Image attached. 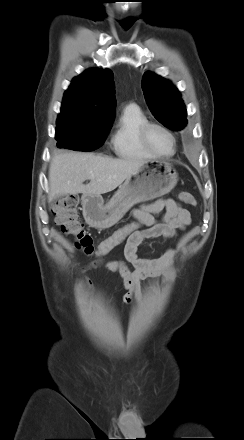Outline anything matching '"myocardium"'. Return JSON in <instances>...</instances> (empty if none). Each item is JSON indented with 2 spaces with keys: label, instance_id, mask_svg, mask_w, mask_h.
Here are the masks:
<instances>
[{
  "label": "myocardium",
  "instance_id": "myocardium-1",
  "mask_svg": "<svg viewBox=\"0 0 244 440\" xmlns=\"http://www.w3.org/2000/svg\"><path fill=\"white\" fill-rule=\"evenodd\" d=\"M153 128H157L162 130L163 132H165L167 135H169V137L171 138L172 142H173V151L168 154V155H162V154H158L155 151H153L151 149V147L149 146L148 143V134L149 131ZM138 138H139V142L142 145V147L148 152L150 153L153 157H164V156H172L174 155V153L176 152V148H177V141L176 138L174 136V134L165 126L158 124V123H154V122H147L145 124H143L138 132Z\"/></svg>",
  "mask_w": 244,
  "mask_h": 440
}]
</instances>
